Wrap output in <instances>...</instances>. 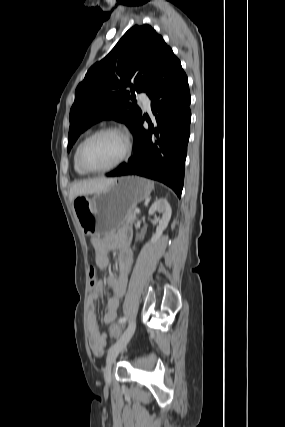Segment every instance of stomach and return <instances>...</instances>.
I'll return each instance as SVG.
<instances>
[{"mask_svg": "<svg viewBox=\"0 0 285 427\" xmlns=\"http://www.w3.org/2000/svg\"><path fill=\"white\" fill-rule=\"evenodd\" d=\"M153 188L151 181L138 176L116 178L108 188L92 197L77 196L73 210L84 232L105 236L128 224V212L149 198Z\"/></svg>", "mask_w": 285, "mask_h": 427, "instance_id": "obj_1", "label": "stomach"}]
</instances>
